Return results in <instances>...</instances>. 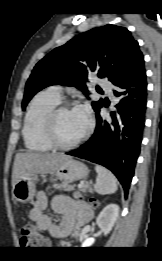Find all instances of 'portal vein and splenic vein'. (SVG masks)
I'll list each match as a JSON object with an SVG mask.
<instances>
[{"instance_id": "portal-vein-and-splenic-vein-1", "label": "portal vein and splenic vein", "mask_w": 162, "mask_h": 261, "mask_svg": "<svg viewBox=\"0 0 162 261\" xmlns=\"http://www.w3.org/2000/svg\"><path fill=\"white\" fill-rule=\"evenodd\" d=\"M83 186V182H81L78 187L81 188Z\"/></svg>"}]
</instances>
